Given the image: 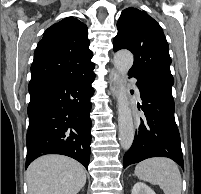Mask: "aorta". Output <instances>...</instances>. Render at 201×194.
<instances>
[{"label":"aorta","mask_w":201,"mask_h":194,"mask_svg":"<svg viewBox=\"0 0 201 194\" xmlns=\"http://www.w3.org/2000/svg\"><path fill=\"white\" fill-rule=\"evenodd\" d=\"M133 65V55L130 51L121 50L114 55V66L118 73V126L119 141L124 150H128L134 140V125L131 108L129 106L128 90L125 79Z\"/></svg>","instance_id":"aorta-1"}]
</instances>
